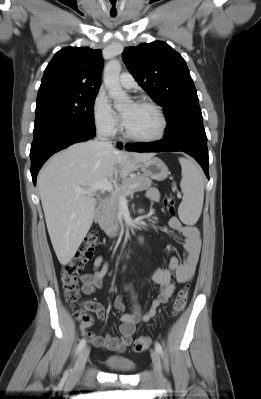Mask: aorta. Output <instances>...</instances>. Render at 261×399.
Returning <instances> with one entry per match:
<instances>
[{
    "instance_id": "762f6f07",
    "label": "aorta",
    "mask_w": 261,
    "mask_h": 399,
    "mask_svg": "<svg viewBox=\"0 0 261 399\" xmlns=\"http://www.w3.org/2000/svg\"><path fill=\"white\" fill-rule=\"evenodd\" d=\"M121 73V63L117 59H111L104 69V83L108 89L110 97L114 101L116 109H122L129 103V97L122 89L119 76Z\"/></svg>"
}]
</instances>
